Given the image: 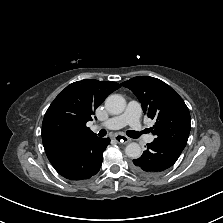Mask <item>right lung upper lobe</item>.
Wrapping results in <instances>:
<instances>
[{"label": "right lung upper lobe", "mask_w": 223, "mask_h": 223, "mask_svg": "<svg viewBox=\"0 0 223 223\" xmlns=\"http://www.w3.org/2000/svg\"><path fill=\"white\" fill-rule=\"evenodd\" d=\"M120 84L85 79L67 86L47 109L42 125V141L48 159L76 149L96 137L86 123L96 108Z\"/></svg>", "instance_id": "right-lung-upper-lobe-1"}]
</instances>
